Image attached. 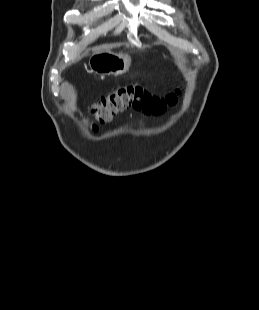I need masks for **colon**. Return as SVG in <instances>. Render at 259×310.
Masks as SVG:
<instances>
[{
	"instance_id": "1",
	"label": "colon",
	"mask_w": 259,
	"mask_h": 310,
	"mask_svg": "<svg viewBox=\"0 0 259 310\" xmlns=\"http://www.w3.org/2000/svg\"><path fill=\"white\" fill-rule=\"evenodd\" d=\"M175 100V95L161 96L139 85L123 86L112 91L93 106L91 123L93 127H97L130 108L158 113L164 111Z\"/></svg>"
}]
</instances>
